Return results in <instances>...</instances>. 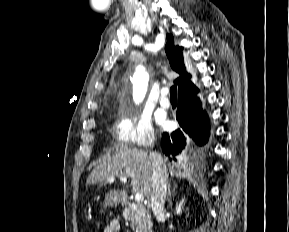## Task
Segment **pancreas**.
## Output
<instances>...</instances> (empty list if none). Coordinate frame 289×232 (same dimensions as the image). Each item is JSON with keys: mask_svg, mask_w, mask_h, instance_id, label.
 Masks as SVG:
<instances>
[{"mask_svg": "<svg viewBox=\"0 0 289 232\" xmlns=\"http://www.w3.org/2000/svg\"><path fill=\"white\" fill-rule=\"evenodd\" d=\"M126 221H131V227L135 232H151L152 222L149 211L139 204H129L123 211Z\"/></svg>", "mask_w": 289, "mask_h": 232, "instance_id": "cf45deb5", "label": "pancreas"}]
</instances>
